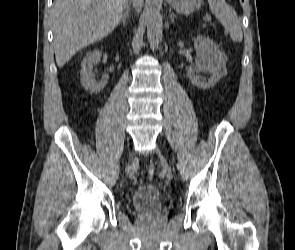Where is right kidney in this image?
Listing matches in <instances>:
<instances>
[{
    "instance_id": "obj_1",
    "label": "right kidney",
    "mask_w": 295,
    "mask_h": 250,
    "mask_svg": "<svg viewBox=\"0 0 295 250\" xmlns=\"http://www.w3.org/2000/svg\"><path fill=\"white\" fill-rule=\"evenodd\" d=\"M102 53L99 50L89 52L81 63V83L86 90L99 93L108 83L109 76L104 75L101 80L93 79V66L100 62Z\"/></svg>"
}]
</instances>
